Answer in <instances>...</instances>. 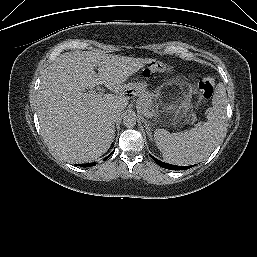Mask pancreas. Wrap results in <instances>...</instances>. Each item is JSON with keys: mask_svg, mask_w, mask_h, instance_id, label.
I'll list each match as a JSON object with an SVG mask.
<instances>
[{"mask_svg": "<svg viewBox=\"0 0 257 257\" xmlns=\"http://www.w3.org/2000/svg\"><path fill=\"white\" fill-rule=\"evenodd\" d=\"M138 106H140L143 110H151V114L153 116H157L159 113L158 111V104L155 102V95L153 93H150L149 91H143L139 93V99L137 101ZM196 115L191 114L189 116V121H195Z\"/></svg>", "mask_w": 257, "mask_h": 257, "instance_id": "1", "label": "pancreas"}]
</instances>
